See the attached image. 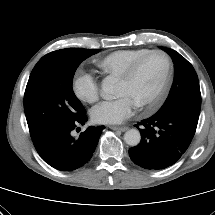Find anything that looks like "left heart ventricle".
<instances>
[{
  "label": "left heart ventricle",
  "instance_id": "left-heart-ventricle-1",
  "mask_svg": "<svg viewBox=\"0 0 215 215\" xmlns=\"http://www.w3.org/2000/svg\"><path fill=\"white\" fill-rule=\"evenodd\" d=\"M166 71V60L155 54L148 56L128 81L118 82V95H129L137 105L148 101L160 87Z\"/></svg>",
  "mask_w": 215,
  "mask_h": 215
}]
</instances>
